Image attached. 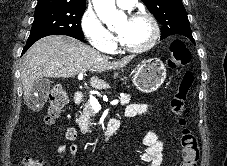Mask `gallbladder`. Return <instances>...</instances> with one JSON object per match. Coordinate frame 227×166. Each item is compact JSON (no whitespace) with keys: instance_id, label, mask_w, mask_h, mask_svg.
<instances>
[{"instance_id":"bac80fb5","label":"gallbladder","mask_w":227,"mask_h":166,"mask_svg":"<svg viewBox=\"0 0 227 166\" xmlns=\"http://www.w3.org/2000/svg\"><path fill=\"white\" fill-rule=\"evenodd\" d=\"M51 83L52 81L48 78H40L34 83L30 97L26 101L29 109L39 110L43 107L46 102Z\"/></svg>"}]
</instances>
